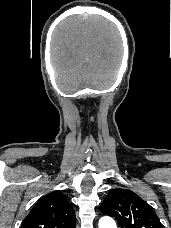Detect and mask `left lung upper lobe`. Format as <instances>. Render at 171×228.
Wrapping results in <instances>:
<instances>
[{"instance_id":"5c2ea615","label":"left lung upper lobe","mask_w":171,"mask_h":228,"mask_svg":"<svg viewBox=\"0 0 171 228\" xmlns=\"http://www.w3.org/2000/svg\"><path fill=\"white\" fill-rule=\"evenodd\" d=\"M100 210L115 217L122 228H162L151 206L128 189L110 191Z\"/></svg>"}]
</instances>
